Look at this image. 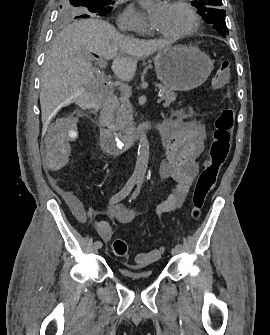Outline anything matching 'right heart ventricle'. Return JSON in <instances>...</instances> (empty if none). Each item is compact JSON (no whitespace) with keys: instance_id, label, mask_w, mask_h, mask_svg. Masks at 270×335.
Masks as SVG:
<instances>
[{"instance_id":"right-heart-ventricle-1","label":"right heart ventricle","mask_w":270,"mask_h":335,"mask_svg":"<svg viewBox=\"0 0 270 335\" xmlns=\"http://www.w3.org/2000/svg\"><path fill=\"white\" fill-rule=\"evenodd\" d=\"M159 78H172V77H159Z\"/></svg>"}]
</instances>
